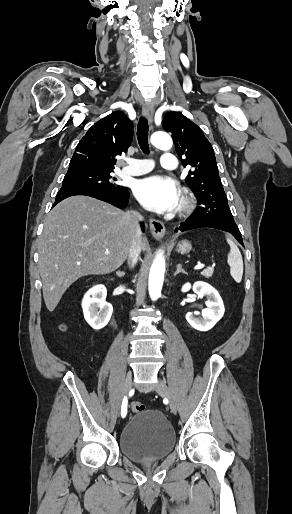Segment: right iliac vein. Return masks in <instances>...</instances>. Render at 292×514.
<instances>
[{
    "instance_id": "1",
    "label": "right iliac vein",
    "mask_w": 292,
    "mask_h": 514,
    "mask_svg": "<svg viewBox=\"0 0 292 514\" xmlns=\"http://www.w3.org/2000/svg\"><path fill=\"white\" fill-rule=\"evenodd\" d=\"M131 387H132V374L129 371L126 375V379H125V383H124L123 394H122L123 397H125L129 393Z\"/></svg>"
}]
</instances>
